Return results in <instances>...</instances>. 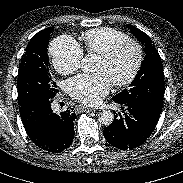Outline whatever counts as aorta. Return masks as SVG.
I'll list each match as a JSON object with an SVG mask.
<instances>
[{"instance_id":"obj_1","label":"aorta","mask_w":183,"mask_h":183,"mask_svg":"<svg viewBox=\"0 0 183 183\" xmlns=\"http://www.w3.org/2000/svg\"><path fill=\"white\" fill-rule=\"evenodd\" d=\"M81 69L83 72L92 71L94 69L93 57H84L81 61ZM98 120L102 125L109 126L114 120V114L110 110H103L99 113Z\"/></svg>"}]
</instances>
